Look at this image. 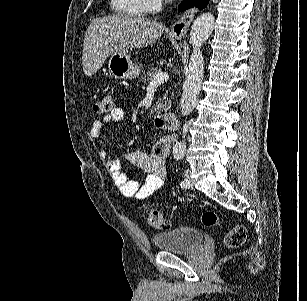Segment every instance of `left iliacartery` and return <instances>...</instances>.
Wrapping results in <instances>:
<instances>
[{"label":"left iliac artery","mask_w":307,"mask_h":301,"mask_svg":"<svg viewBox=\"0 0 307 301\" xmlns=\"http://www.w3.org/2000/svg\"><path fill=\"white\" fill-rule=\"evenodd\" d=\"M187 184H188V181L185 179V180H183V181L181 182L180 185H181V187L185 188Z\"/></svg>","instance_id":"left-iliac-artery-1"}]
</instances>
